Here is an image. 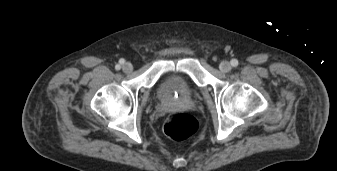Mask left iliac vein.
<instances>
[{
	"mask_svg": "<svg viewBox=\"0 0 337 171\" xmlns=\"http://www.w3.org/2000/svg\"><path fill=\"white\" fill-rule=\"evenodd\" d=\"M219 68L223 73H227L232 69L231 64L228 61H222L219 65Z\"/></svg>",
	"mask_w": 337,
	"mask_h": 171,
	"instance_id": "left-iliac-vein-1",
	"label": "left iliac vein"
}]
</instances>
